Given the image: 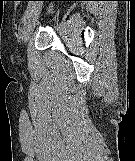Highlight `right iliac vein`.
Instances as JSON below:
<instances>
[{
  "label": "right iliac vein",
  "mask_w": 135,
  "mask_h": 161,
  "mask_svg": "<svg viewBox=\"0 0 135 161\" xmlns=\"http://www.w3.org/2000/svg\"><path fill=\"white\" fill-rule=\"evenodd\" d=\"M41 10V5L37 4L36 6H34L30 17L28 18V20L26 21L24 28L22 30V40L24 43H26L28 41V39L30 38L34 26H35V21L38 18V15L40 13Z\"/></svg>",
  "instance_id": "right-iliac-vein-1"
}]
</instances>
